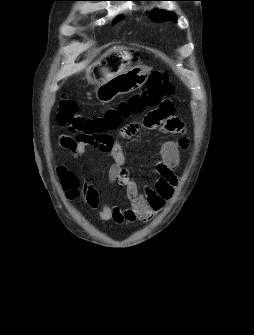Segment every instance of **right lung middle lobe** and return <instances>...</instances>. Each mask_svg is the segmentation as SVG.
<instances>
[{"instance_id":"dd1d6c3e","label":"right lung middle lobe","mask_w":254,"mask_h":335,"mask_svg":"<svg viewBox=\"0 0 254 335\" xmlns=\"http://www.w3.org/2000/svg\"><path fill=\"white\" fill-rule=\"evenodd\" d=\"M119 20H121V18L116 19V21H119Z\"/></svg>"}]
</instances>
